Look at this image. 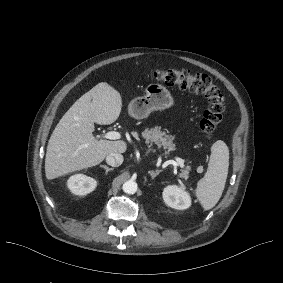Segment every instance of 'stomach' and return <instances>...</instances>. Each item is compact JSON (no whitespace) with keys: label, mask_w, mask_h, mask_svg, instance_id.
<instances>
[{"label":"stomach","mask_w":283,"mask_h":283,"mask_svg":"<svg viewBox=\"0 0 283 283\" xmlns=\"http://www.w3.org/2000/svg\"><path fill=\"white\" fill-rule=\"evenodd\" d=\"M172 104L168 91L161 85L152 84L146 88L145 96L132 99L127 106L128 115L135 120L148 118L155 110L164 109Z\"/></svg>","instance_id":"stomach-1"}]
</instances>
